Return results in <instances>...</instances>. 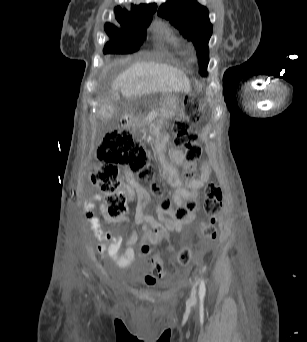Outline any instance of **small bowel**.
Returning <instances> with one entry per match:
<instances>
[{
	"label": "small bowel",
	"instance_id": "obj_1",
	"mask_svg": "<svg viewBox=\"0 0 307 342\" xmlns=\"http://www.w3.org/2000/svg\"><path fill=\"white\" fill-rule=\"evenodd\" d=\"M171 158L174 165H182L184 163V154L178 149L172 150ZM174 165L164 162L163 176L167 184L175 188L172 201L177 208H180L192 200L195 193L208 182L211 166L209 162L205 161L201 165L200 173L197 177L183 179L179 176ZM126 180V190L129 195H137L136 222L141 225L143 233H145V229H151V225H171V232H180L183 226L190 224L195 219L196 214L192 213L186 222H182L174 217L173 209L164 210L162 208L157 209V218H155L147 211L149 195L146 190L139 185L132 173H126ZM100 201L101 196L95 194L84 204L85 217L93 231V235L98 241L102 242L97 247V251L101 254H106L117 267L127 268L134 260V245L138 241V235L133 230L131 236L124 241L120 236L113 234L111 231L103 230L98 216L94 213L95 204ZM110 221L117 222L121 220ZM148 254L140 253V256L145 257Z\"/></svg>",
	"mask_w": 307,
	"mask_h": 342
}]
</instances>
